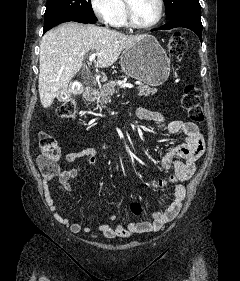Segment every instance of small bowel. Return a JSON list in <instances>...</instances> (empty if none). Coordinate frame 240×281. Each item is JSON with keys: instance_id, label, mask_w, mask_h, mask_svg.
<instances>
[{"instance_id": "c3829d8e", "label": "small bowel", "mask_w": 240, "mask_h": 281, "mask_svg": "<svg viewBox=\"0 0 240 281\" xmlns=\"http://www.w3.org/2000/svg\"><path fill=\"white\" fill-rule=\"evenodd\" d=\"M137 116L146 121L159 124H165L170 134L181 133L185 137V142L168 152L162 159L164 169L173 168L174 172L168 180L157 179L153 181L154 189H161L168 184H173V197L170 203L163 211L152 215L151 220L143 222H130L127 224H118L112 226L110 223H103L97 227L83 226L80 223H71L66 217L60 215L57 206L53 200L48 197L50 210L54 213L55 219L62 225L68 226L72 233L84 232L95 236V233L101 234L108 239L118 237H130L135 234L157 231L165 224L171 222L180 212L182 201L185 198L187 182L195 172L196 161L202 156L205 150V142L198 126L193 122H183L180 120H169L162 113L149 109L140 108L137 110ZM99 151L96 148H85L76 152H69L65 155L66 162L72 163L79 159H84L90 167H95ZM81 168H71L60 170L51 175H44L45 182L57 180L65 191H72V182L81 173ZM116 216L112 215L109 221H114Z\"/></svg>"}]
</instances>
